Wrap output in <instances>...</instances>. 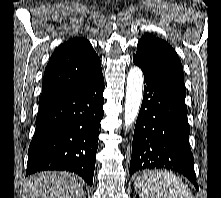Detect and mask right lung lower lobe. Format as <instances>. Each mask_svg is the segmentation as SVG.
Returning a JSON list of instances; mask_svg holds the SVG:
<instances>
[{"mask_svg":"<svg viewBox=\"0 0 221 198\" xmlns=\"http://www.w3.org/2000/svg\"><path fill=\"white\" fill-rule=\"evenodd\" d=\"M102 72L78 89L39 107L27 174L66 170L92 185L103 112Z\"/></svg>","mask_w":221,"mask_h":198,"instance_id":"1","label":"right lung lower lobe"}]
</instances>
